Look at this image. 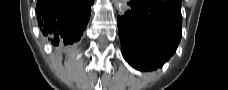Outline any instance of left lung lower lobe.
<instances>
[{
    "instance_id": "0a47b994",
    "label": "left lung lower lobe",
    "mask_w": 228,
    "mask_h": 90,
    "mask_svg": "<svg viewBox=\"0 0 228 90\" xmlns=\"http://www.w3.org/2000/svg\"><path fill=\"white\" fill-rule=\"evenodd\" d=\"M118 18L123 56L138 70L162 67L182 35L180 0H131Z\"/></svg>"
}]
</instances>
